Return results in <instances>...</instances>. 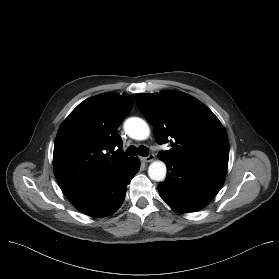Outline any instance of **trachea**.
I'll use <instances>...</instances> for the list:
<instances>
[{"label":"trachea","mask_w":279,"mask_h":279,"mask_svg":"<svg viewBox=\"0 0 279 279\" xmlns=\"http://www.w3.org/2000/svg\"><path fill=\"white\" fill-rule=\"evenodd\" d=\"M138 154L146 157L149 154V149L143 145H140L138 148L133 145L129 146V148L127 150L128 156H136Z\"/></svg>","instance_id":"obj_1"}]
</instances>
